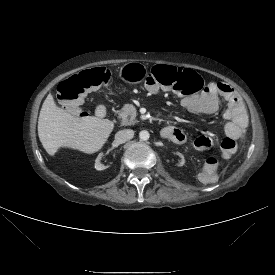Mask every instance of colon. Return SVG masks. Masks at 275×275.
Masks as SVG:
<instances>
[{
  "label": "colon",
  "mask_w": 275,
  "mask_h": 275,
  "mask_svg": "<svg viewBox=\"0 0 275 275\" xmlns=\"http://www.w3.org/2000/svg\"><path fill=\"white\" fill-rule=\"evenodd\" d=\"M110 72L105 67L82 71L70 76L60 83L58 96L70 104L75 114L79 113V102L90 91L108 83ZM203 88L201 77L190 69L173 66H154L147 78L146 89L153 96L161 94L162 89L176 94H195ZM241 141L227 137L221 142V151L226 158L237 153Z\"/></svg>",
  "instance_id": "1"
}]
</instances>
